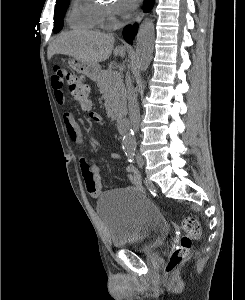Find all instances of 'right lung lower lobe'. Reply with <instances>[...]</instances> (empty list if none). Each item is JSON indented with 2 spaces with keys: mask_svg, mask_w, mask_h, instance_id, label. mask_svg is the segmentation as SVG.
<instances>
[{
  "mask_svg": "<svg viewBox=\"0 0 245 300\" xmlns=\"http://www.w3.org/2000/svg\"><path fill=\"white\" fill-rule=\"evenodd\" d=\"M153 5H154V0H144V6H143L144 12H149L152 9ZM136 32H137L136 24L134 26L128 25L123 30V36L125 40L131 44Z\"/></svg>",
  "mask_w": 245,
  "mask_h": 300,
  "instance_id": "1",
  "label": "right lung lower lobe"
}]
</instances>
